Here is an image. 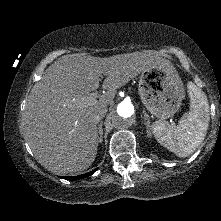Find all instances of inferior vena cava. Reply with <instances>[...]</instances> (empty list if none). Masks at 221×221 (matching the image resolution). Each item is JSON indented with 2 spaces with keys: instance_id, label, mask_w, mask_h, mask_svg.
Listing matches in <instances>:
<instances>
[{
  "instance_id": "inferior-vena-cava-1",
  "label": "inferior vena cava",
  "mask_w": 221,
  "mask_h": 221,
  "mask_svg": "<svg viewBox=\"0 0 221 221\" xmlns=\"http://www.w3.org/2000/svg\"><path fill=\"white\" fill-rule=\"evenodd\" d=\"M106 113H107V108L100 109L95 117V120L99 122L101 119H103Z\"/></svg>"
}]
</instances>
